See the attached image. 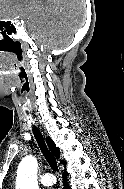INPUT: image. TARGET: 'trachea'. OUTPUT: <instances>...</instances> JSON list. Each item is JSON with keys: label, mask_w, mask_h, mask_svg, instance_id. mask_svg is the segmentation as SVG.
<instances>
[{"label": "trachea", "mask_w": 124, "mask_h": 189, "mask_svg": "<svg viewBox=\"0 0 124 189\" xmlns=\"http://www.w3.org/2000/svg\"><path fill=\"white\" fill-rule=\"evenodd\" d=\"M33 132H34V136L38 142V145L41 148V151H42L43 155L45 156L51 169L53 171H58L57 161H56L55 157L47 149L42 134L36 127L33 128Z\"/></svg>", "instance_id": "1"}]
</instances>
